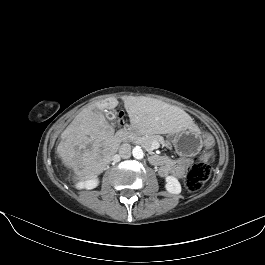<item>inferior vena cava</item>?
Here are the masks:
<instances>
[{
    "label": "inferior vena cava",
    "mask_w": 265,
    "mask_h": 265,
    "mask_svg": "<svg viewBox=\"0 0 265 265\" xmlns=\"http://www.w3.org/2000/svg\"><path fill=\"white\" fill-rule=\"evenodd\" d=\"M119 155L122 158H129L131 156V145L128 143H123L119 147Z\"/></svg>",
    "instance_id": "inferior-vena-cava-1"
}]
</instances>
